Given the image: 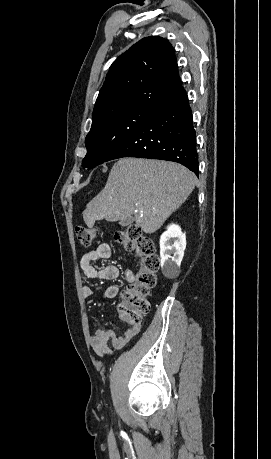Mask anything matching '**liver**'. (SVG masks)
Segmentation results:
<instances>
[{
    "label": "liver",
    "mask_w": 271,
    "mask_h": 459,
    "mask_svg": "<svg viewBox=\"0 0 271 459\" xmlns=\"http://www.w3.org/2000/svg\"><path fill=\"white\" fill-rule=\"evenodd\" d=\"M196 180L195 174L176 162L120 158L104 190L87 204L84 222L93 228L95 220L117 222L134 214L137 226L153 233L186 202Z\"/></svg>",
    "instance_id": "liver-1"
}]
</instances>
